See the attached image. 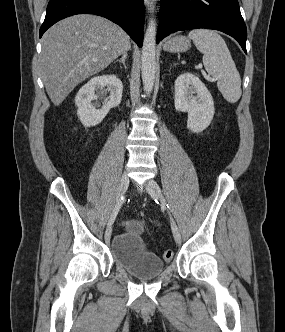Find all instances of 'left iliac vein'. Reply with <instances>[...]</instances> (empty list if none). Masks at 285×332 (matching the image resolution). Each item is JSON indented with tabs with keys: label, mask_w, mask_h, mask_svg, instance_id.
<instances>
[{
	"label": "left iliac vein",
	"mask_w": 285,
	"mask_h": 332,
	"mask_svg": "<svg viewBox=\"0 0 285 332\" xmlns=\"http://www.w3.org/2000/svg\"><path fill=\"white\" fill-rule=\"evenodd\" d=\"M145 187H146L148 193L153 198L160 199L161 201H163V204H165L162 191L155 180H153V179L148 180L145 183ZM171 228H172V233H173L176 243L180 244L181 243V234H180L179 228L177 227V225L173 219H171Z\"/></svg>",
	"instance_id": "4c4485c4"
}]
</instances>
